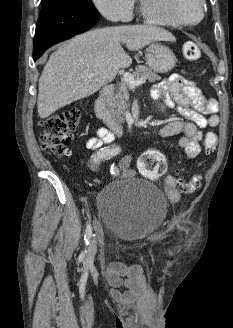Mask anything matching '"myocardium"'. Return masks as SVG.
Masks as SVG:
<instances>
[{"label": "myocardium", "mask_w": 233, "mask_h": 328, "mask_svg": "<svg viewBox=\"0 0 233 328\" xmlns=\"http://www.w3.org/2000/svg\"><path fill=\"white\" fill-rule=\"evenodd\" d=\"M200 5L201 12L199 18L196 21L187 22L179 20L164 12L159 0H140L141 11L147 19L156 23L180 27L196 26L203 21L206 14V1L200 0Z\"/></svg>", "instance_id": "1"}]
</instances>
